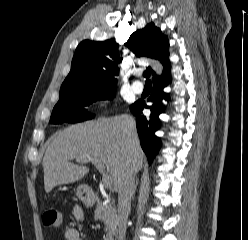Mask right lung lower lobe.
Masks as SVG:
<instances>
[{
  "label": "right lung lower lobe",
  "instance_id": "98d812e1",
  "mask_svg": "<svg viewBox=\"0 0 248 240\" xmlns=\"http://www.w3.org/2000/svg\"><path fill=\"white\" fill-rule=\"evenodd\" d=\"M170 82V74L166 77H160L153 82V90L149 98L153 103L151 106L145 105L142 100H138L130 106L131 112L137 119L136 125L140 144L149 163L152 162L161 147L160 138L155 135V132L161 127L159 115L165 110V105L162 101L163 99L168 100V94H166L163 89L168 86ZM144 107L150 109V116L146 117L142 115Z\"/></svg>",
  "mask_w": 248,
  "mask_h": 240
}]
</instances>
